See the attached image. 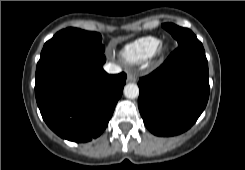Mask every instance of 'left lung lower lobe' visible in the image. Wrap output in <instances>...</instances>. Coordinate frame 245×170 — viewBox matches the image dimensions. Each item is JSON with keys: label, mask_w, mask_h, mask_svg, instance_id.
<instances>
[{"label": "left lung lower lobe", "mask_w": 245, "mask_h": 170, "mask_svg": "<svg viewBox=\"0 0 245 170\" xmlns=\"http://www.w3.org/2000/svg\"><path fill=\"white\" fill-rule=\"evenodd\" d=\"M138 108L146 127L157 136L187 131L209 98L204 49L179 46L151 74L140 78Z\"/></svg>", "instance_id": "obj_1"}]
</instances>
